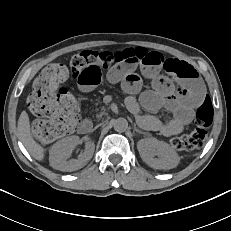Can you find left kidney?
<instances>
[{
    "label": "left kidney",
    "instance_id": "left-kidney-1",
    "mask_svg": "<svg viewBox=\"0 0 231 231\" xmlns=\"http://www.w3.org/2000/svg\"><path fill=\"white\" fill-rule=\"evenodd\" d=\"M137 149L142 160L154 169H172L180 161V157L169 144L156 138L141 139L137 143Z\"/></svg>",
    "mask_w": 231,
    "mask_h": 231
}]
</instances>
